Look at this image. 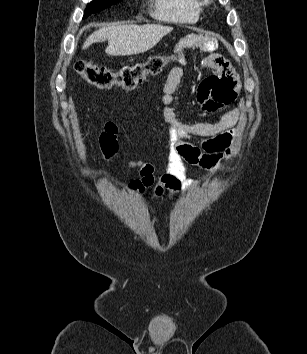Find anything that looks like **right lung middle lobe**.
<instances>
[{
  "mask_svg": "<svg viewBox=\"0 0 307 354\" xmlns=\"http://www.w3.org/2000/svg\"><path fill=\"white\" fill-rule=\"evenodd\" d=\"M118 0H93L87 5V8L84 13V18L87 17L88 15L92 13L99 12L105 8L110 7L114 3H116Z\"/></svg>",
  "mask_w": 307,
  "mask_h": 354,
  "instance_id": "dd1d6c3e",
  "label": "right lung middle lobe"
}]
</instances>
